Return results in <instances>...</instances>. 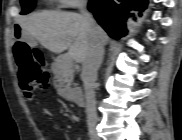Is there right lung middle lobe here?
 <instances>
[{"label": "right lung middle lobe", "instance_id": "obj_1", "mask_svg": "<svg viewBox=\"0 0 182 140\" xmlns=\"http://www.w3.org/2000/svg\"><path fill=\"white\" fill-rule=\"evenodd\" d=\"M21 5H22L21 14L22 15L27 14L33 10V8L35 6V0H22Z\"/></svg>", "mask_w": 182, "mask_h": 140}]
</instances>
